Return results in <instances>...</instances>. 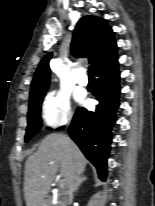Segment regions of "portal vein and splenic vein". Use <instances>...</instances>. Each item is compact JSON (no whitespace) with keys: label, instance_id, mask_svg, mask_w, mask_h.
Returning a JSON list of instances; mask_svg holds the SVG:
<instances>
[{"label":"portal vein and splenic vein","instance_id":"obj_1","mask_svg":"<svg viewBox=\"0 0 155 206\" xmlns=\"http://www.w3.org/2000/svg\"><path fill=\"white\" fill-rule=\"evenodd\" d=\"M64 186H65V182H64L63 180H61V182H60V187H61V188H64Z\"/></svg>","mask_w":155,"mask_h":206}]
</instances>
